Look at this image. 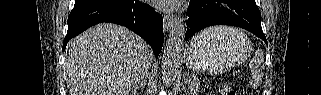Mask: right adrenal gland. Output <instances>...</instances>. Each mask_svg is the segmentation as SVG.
Instances as JSON below:
<instances>
[{
  "label": "right adrenal gland",
  "mask_w": 321,
  "mask_h": 95,
  "mask_svg": "<svg viewBox=\"0 0 321 95\" xmlns=\"http://www.w3.org/2000/svg\"><path fill=\"white\" fill-rule=\"evenodd\" d=\"M146 83H147V76H146L145 78H143V79L135 86L134 90L132 91V94H136V91H137L140 87L144 88L145 85H146Z\"/></svg>",
  "instance_id": "1"
}]
</instances>
